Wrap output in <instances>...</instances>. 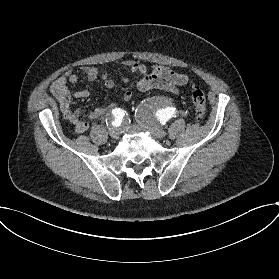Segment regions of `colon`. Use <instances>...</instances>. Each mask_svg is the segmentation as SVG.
I'll return each instance as SVG.
<instances>
[{"label": "colon", "instance_id": "5ec220e1", "mask_svg": "<svg viewBox=\"0 0 279 279\" xmlns=\"http://www.w3.org/2000/svg\"><path fill=\"white\" fill-rule=\"evenodd\" d=\"M191 99L195 108L196 115L199 119L205 117L206 114V100L203 90L194 85L191 89Z\"/></svg>", "mask_w": 279, "mask_h": 279}]
</instances>
